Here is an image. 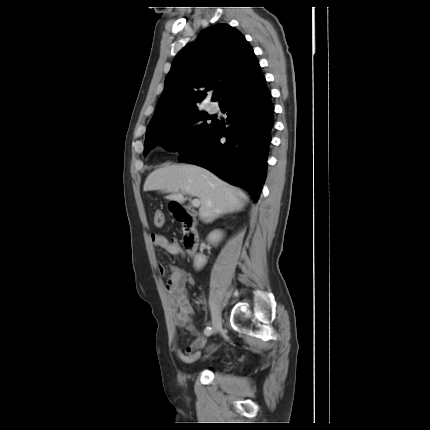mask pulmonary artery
<instances>
[{
	"instance_id": "obj_1",
	"label": "pulmonary artery",
	"mask_w": 430,
	"mask_h": 430,
	"mask_svg": "<svg viewBox=\"0 0 430 430\" xmlns=\"http://www.w3.org/2000/svg\"><path fill=\"white\" fill-rule=\"evenodd\" d=\"M208 109H209V110H211V111L215 110V108H214V106H213V105H209V106H208Z\"/></svg>"
}]
</instances>
